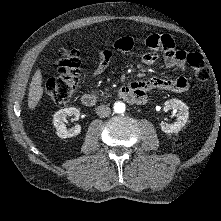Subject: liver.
<instances>
[{
  "instance_id": "obj_1",
  "label": "liver",
  "mask_w": 221,
  "mask_h": 221,
  "mask_svg": "<svg viewBox=\"0 0 221 221\" xmlns=\"http://www.w3.org/2000/svg\"><path fill=\"white\" fill-rule=\"evenodd\" d=\"M43 95L42 87V74L38 69L31 80L29 93H28V107L34 109Z\"/></svg>"
}]
</instances>
